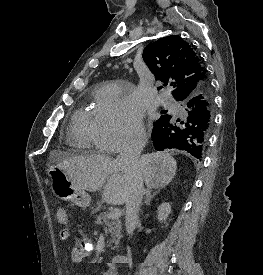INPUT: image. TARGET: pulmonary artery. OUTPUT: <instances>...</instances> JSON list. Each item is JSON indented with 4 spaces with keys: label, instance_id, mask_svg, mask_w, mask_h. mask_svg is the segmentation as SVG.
<instances>
[{
    "label": "pulmonary artery",
    "instance_id": "obj_1",
    "mask_svg": "<svg viewBox=\"0 0 263 275\" xmlns=\"http://www.w3.org/2000/svg\"><path fill=\"white\" fill-rule=\"evenodd\" d=\"M163 105L164 106H167V107H175V103L169 99V98H166L164 101H163Z\"/></svg>",
    "mask_w": 263,
    "mask_h": 275
}]
</instances>
